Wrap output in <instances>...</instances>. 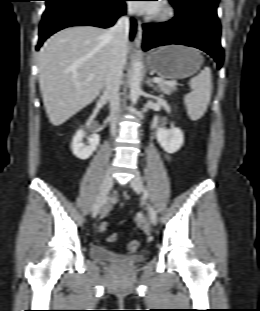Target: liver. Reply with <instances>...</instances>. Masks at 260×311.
Wrapping results in <instances>:
<instances>
[{
	"mask_svg": "<svg viewBox=\"0 0 260 311\" xmlns=\"http://www.w3.org/2000/svg\"><path fill=\"white\" fill-rule=\"evenodd\" d=\"M106 33L105 29L91 26L69 27L54 34L41 48L39 85L54 126L86 107L102 90L112 48ZM128 50L127 43L126 56Z\"/></svg>",
	"mask_w": 260,
	"mask_h": 311,
	"instance_id": "liver-1",
	"label": "liver"
}]
</instances>
